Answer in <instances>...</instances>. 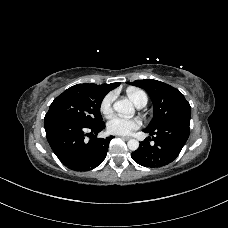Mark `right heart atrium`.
Wrapping results in <instances>:
<instances>
[{
  "label": "right heart atrium",
  "mask_w": 228,
  "mask_h": 228,
  "mask_svg": "<svg viewBox=\"0 0 228 228\" xmlns=\"http://www.w3.org/2000/svg\"><path fill=\"white\" fill-rule=\"evenodd\" d=\"M114 99L115 95L113 92H110L104 96L100 103V111L102 114L108 116L112 113Z\"/></svg>",
  "instance_id": "d8ad5b80"
}]
</instances>
